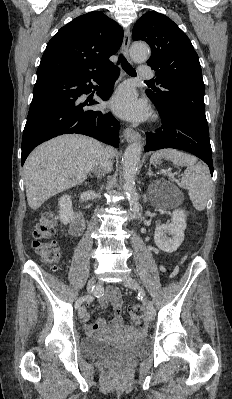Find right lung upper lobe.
Returning <instances> with one entry per match:
<instances>
[{
	"mask_svg": "<svg viewBox=\"0 0 232 399\" xmlns=\"http://www.w3.org/2000/svg\"><path fill=\"white\" fill-rule=\"evenodd\" d=\"M122 40V28L104 13L81 15L49 41L37 76L106 70L113 66L109 57L118 51Z\"/></svg>",
	"mask_w": 232,
	"mask_h": 399,
	"instance_id": "cb5924a9",
	"label": "right lung upper lobe"
}]
</instances>
